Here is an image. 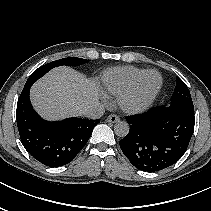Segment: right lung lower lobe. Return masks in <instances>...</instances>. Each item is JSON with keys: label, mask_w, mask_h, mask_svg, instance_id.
I'll return each instance as SVG.
<instances>
[{"label": "right lung lower lobe", "mask_w": 211, "mask_h": 211, "mask_svg": "<svg viewBox=\"0 0 211 211\" xmlns=\"http://www.w3.org/2000/svg\"><path fill=\"white\" fill-rule=\"evenodd\" d=\"M29 90L21 92L16 110L17 126L24 148L46 166L68 164L86 145L94 126L100 121L74 117L48 122L34 111Z\"/></svg>", "instance_id": "98d812e1"}]
</instances>
